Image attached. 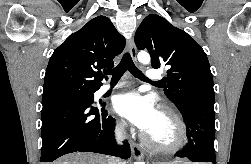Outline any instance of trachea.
Returning <instances> with one entry per match:
<instances>
[{
  "label": "trachea",
  "mask_w": 251,
  "mask_h": 164,
  "mask_svg": "<svg viewBox=\"0 0 251 164\" xmlns=\"http://www.w3.org/2000/svg\"><path fill=\"white\" fill-rule=\"evenodd\" d=\"M127 70L136 78L148 81L145 75L134 65L129 53H125L120 63L114 69L106 70L105 74L112 75V82H118Z\"/></svg>",
  "instance_id": "3493384b"
}]
</instances>
